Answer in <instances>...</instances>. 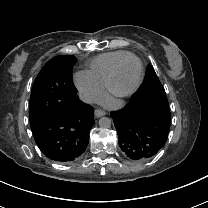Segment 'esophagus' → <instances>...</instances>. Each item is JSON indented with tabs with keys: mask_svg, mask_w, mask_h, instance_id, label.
<instances>
[{
	"mask_svg": "<svg viewBox=\"0 0 208 208\" xmlns=\"http://www.w3.org/2000/svg\"><path fill=\"white\" fill-rule=\"evenodd\" d=\"M94 114H95L96 117L99 118V117L104 116L106 113L103 110L96 109Z\"/></svg>",
	"mask_w": 208,
	"mask_h": 208,
	"instance_id": "1",
	"label": "esophagus"
}]
</instances>
